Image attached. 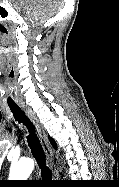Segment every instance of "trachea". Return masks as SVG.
Returning a JSON list of instances; mask_svg holds the SVG:
<instances>
[{"label":"trachea","mask_w":119,"mask_h":187,"mask_svg":"<svg viewBox=\"0 0 119 187\" xmlns=\"http://www.w3.org/2000/svg\"><path fill=\"white\" fill-rule=\"evenodd\" d=\"M9 107L13 113L15 120L25 125L29 130V135L27 136L28 146L30 147L31 153L41 169L42 177L44 179L51 180L52 172L46 166V156L39 142V139L35 134V129L32 122L29 120V118L18 105H9Z\"/></svg>","instance_id":"1"}]
</instances>
